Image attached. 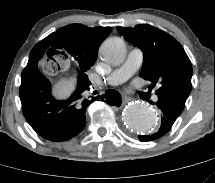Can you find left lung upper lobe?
Returning a JSON list of instances; mask_svg holds the SVG:
<instances>
[{"label": "left lung upper lobe", "instance_id": "1", "mask_svg": "<svg viewBox=\"0 0 215 183\" xmlns=\"http://www.w3.org/2000/svg\"><path fill=\"white\" fill-rule=\"evenodd\" d=\"M117 30L143 51L142 77L157 86L156 95L174 102L181 110L192 88V65L181 44L150 25Z\"/></svg>", "mask_w": 215, "mask_h": 183}]
</instances>
